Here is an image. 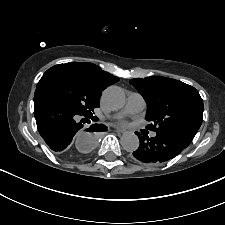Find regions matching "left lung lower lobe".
<instances>
[{
  "mask_svg": "<svg viewBox=\"0 0 225 225\" xmlns=\"http://www.w3.org/2000/svg\"><path fill=\"white\" fill-rule=\"evenodd\" d=\"M197 131L195 128H181L156 133L153 138L136 132L140 146L133 152V159L147 165L166 162L183 151L192 142Z\"/></svg>",
  "mask_w": 225,
  "mask_h": 225,
  "instance_id": "1",
  "label": "left lung lower lobe"
}]
</instances>
